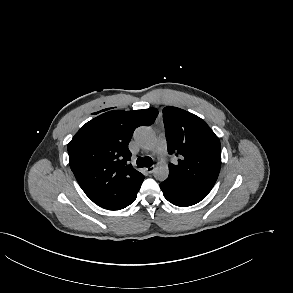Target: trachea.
<instances>
[{
    "instance_id": "3493384b",
    "label": "trachea",
    "mask_w": 293,
    "mask_h": 293,
    "mask_svg": "<svg viewBox=\"0 0 293 293\" xmlns=\"http://www.w3.org/2000/svg\"><path fill=\"white\" fill-rule=\"evenodd\" d=\"M152 165H153V160L150 157H147L145 159L142 157H139L137 159V166H139L141 168L145 167V166L150 167Z\"/></svg>"
}]
</instances>
